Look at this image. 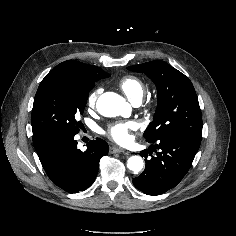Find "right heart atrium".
I'll list each match as a JSON object with an SVG mask.
<instances>
[{
	"label": "right heart atrium",
	"mask_w": 236,
	"mask_h": 236,
	"mask_svg": "<svg viewBox=\"0 0 236 236\" xmlns=\"http://www.w3.org/2000/svg\"><path fill=\"white\" fill-rule=\"evenodd\" d=\"M101 89L94 90L88 97L87 104L90 108H94L98 99Z\"/></svg>",
	"instance_id": "right-heart-atrium-1"
}]
</instances>
